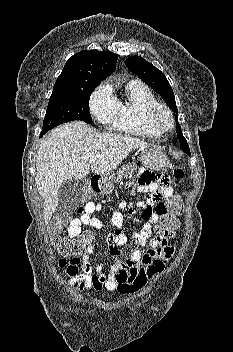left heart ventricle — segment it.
Listing matches in <instances>:
<instances>
[{"instance_id": "left-heart-ventricle-1", "label": "left heart ventricle", "mask_w": 233, "mask_h": 352, "mask_svg": "<svg viewBox=\"0 0 233 352\" xmlns=\"http://www.w3.org/2000/svg\"><path fill=\"white\" fill-rule=\"evenodd\" d=\"M165 121H166V119H165L164 115L161 114V115L159 116V122H160L161 124H164Z\"/></svg>"}]
</instances>
